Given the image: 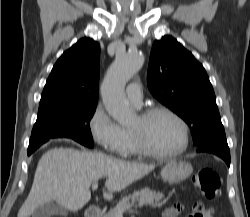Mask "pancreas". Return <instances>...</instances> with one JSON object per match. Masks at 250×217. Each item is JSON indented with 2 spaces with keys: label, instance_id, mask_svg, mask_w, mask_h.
Listing matches in <instances>:
<instances>
[{
  "label": "pancreas",
  "instance_id": "pancreas-1",
  "mask_svg": "<svg viewBox=\"0 0 250 217\" xmlns=\"http://www.w3.org/2000/svg\"><path fill=\"white\" fill-rule=\"evenodd\" d=\"M163 194L151 191L149 188H144L140 191L134 192L132 195L120 200L117 205L110 209L108 213L103 217H117V213L121 211L124 213L127 207L135 202H138V206L149 205L155 206L163 199Z\"/></svg>",
  "mask_w": 250,
  "mask_h": 217
}]
</instances>
